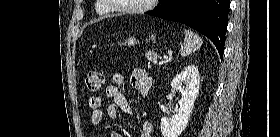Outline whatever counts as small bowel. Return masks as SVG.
Wrapping results in <instances>:
<instances>
[{"label": "small bowel", "mask_w": 280, "mask_h": 137, "mask_svg": "<svg viewBox=\"0 0 280 137\" xmlns=\"http://www.w3.org/2000/svg\"><path fill=\"white\" fill-rule=\"evenodd\" d=\"M132 88L140 95H146L152 86V79L147 75L142 68H134L130 73L129 78ZM127 80L122 72H116L113 75L112 83L105 89V94L113 100L107 108V115L110 119L119 117L120 109L128 114H131V108L123 93V88L126 86ZM103 99L99 96H92L88 99V109L90 111V121L93 125H98L103 120V112L101 106ZM153 126L149 121L141 123V137H152ZM109 137H121L119 133H111Z\"/></svg>", "instance_id": "obj_1"}]
</instances>
